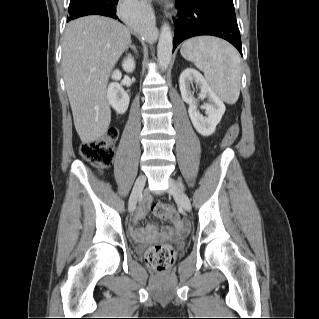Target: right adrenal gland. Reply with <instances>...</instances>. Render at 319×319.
<instances>
[{
  "label": "right adrenal gland",
  "mask_w": 319,
  "mask_h": 319,
  "mask_svg": "<svg viewBox=\"0 0 319 319\" xmlns=\"http://www.w3.org/2000/svg\"><path fill=\"white\" fill-rule=\"evenodd\" d=\"M129 48H131L137 54V50H136L135 46L132 43L129 44Z\"/></svg>",
  "instance_id": "2a0ac1e0"
}]
</instances>
